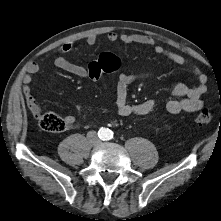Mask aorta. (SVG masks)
<instances>
[{"instance_id":"obj_1","label":"aorta","mask_w":221,"mask_h":221,"mask_svg":"<svg viewBox=\"0 0 221 221\" xmlns=\"http://www.w3.org/2000/svg\"><path fill=\"white\" fill-rule=\"evenodd\" d=\"M100 136H101V138H103L104 140H108V139L111 138L112 132H111L110 129L104 128V129H101V131H100Z\"/></svg>"}]
</instances>
